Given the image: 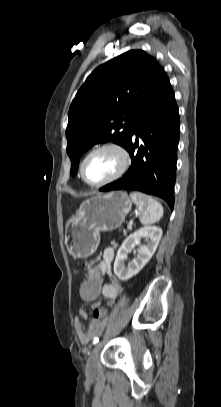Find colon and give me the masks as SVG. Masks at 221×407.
Here are the masks:
<instances>
[{"mask_svg":"<svg viewBox=\"0 0 221 407\" xmlns=\"http://www.w3.org/2000/svg\"><path fill=\"white\" fill-rule=\"evenodd\" d=\"M90 271H86L82 283H79V300H83L86 306H90L91 302L99 298V292H102V279L99 273V264L93 261L90 264ZM106 305H96L93 310V317L97 319L106 318L108 316Z\"/></svg>","mask_w":221,"mask_h":407,"instance_id":"5ec220e1","label":"colon"}]
</instances>
